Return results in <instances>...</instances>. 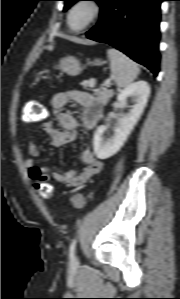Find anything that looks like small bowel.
<instances>
[{"label": "small bowel", "mask_w": 180, "mask_h": 299, "mask_svg": "<svg viewBox=\"0 0 180 299\" xmlns=\"http://www.w3.org/2000/svg\"><path fill=\"white\" fill-rule=\"evenodd\" d=\"M70 99L84 107L81 124L86 130L94 129L101 118V104L93 95L87 92L75 90L54 95L51 99L50 106L60 128H57L53 121H45L42 123V128L50 136L51 145L54 147L67 145L73 142L77 137V129L80 124L73 115L64 110L65 105ZM28 153L31 157L39 155V148L36 142L31 141L29 143ZM80 156L84 163V168L80 172L69 170L60 173L48 168L39 167L31 159L25 162V166L28 169L30 179L33 181L42 182L53 179L66 187H80L97 175L103 167L102 161L95 156L91 147L83 148Z\"/></svg>", "instance_id": "obj_1"}]
</instances>
